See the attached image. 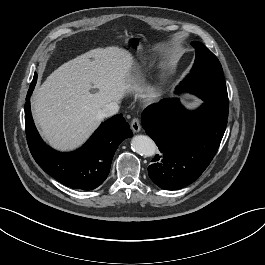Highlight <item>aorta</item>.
Listing matches in <instances>:
<instances>
[{"label": "aorta", "mask_w": 265, "mask_h": 265, "mask_svg": "<svg viewBox=\"0 0 265 265\" xmlns=\"http://www.w3.org/2000/svg\"><path fill=\"white\" fill-rule=\"evenodd\" d=\"M131 147L136 153L150 157L156 153V144L148 136L145 135H136L131 140Z\"/></svg>", "instance_id": "obj_1"}]
</instances>
